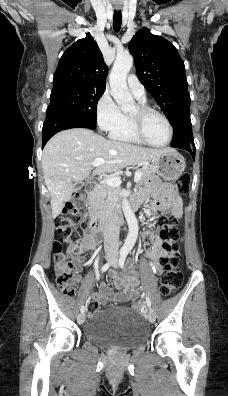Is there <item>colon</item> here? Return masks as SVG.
Returning a JSON list of instances; mask_svg holds the SVG:
<instances>
[{
    "label": "colon",
    "instance_id": "obj_1",
    "mask_svg": "<svg viewBox=\"0 0 228 396\" xmlns=\"http://www.w3.org/2000/svg\"><path fill=\"white\" fill-rule=\"evenodd\" d=\"M175 189L180 194H187L190 188V175L182 174L174 182ZM85 202V197L79 194L69 202L59 216L57 223V239L53 244L54 270L56 283L59 289L68 297L75 293L76 277L74 264L65 250L73 245L80 237L85 224L79 220V209ZM159 237L162 240L164 254L161 257V265L164 271L160 278V290L164 296L174 294L182 284V274L179 267L180 253L177 240L179 237L175 227V218L167 212H163L159 218ZM100 311V304L91 301L87 305V313L96 315Z\"/></svg>",
    "mask_w": 228,
    "mask_h": 396
}]
</instances>
